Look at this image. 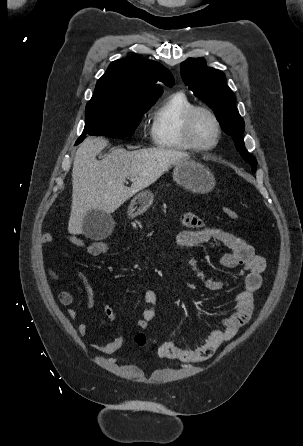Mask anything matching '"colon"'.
Returning a JSON list of instances; mask_svg holds the SVG:
<instances>
[{"label": "colon", "mask_w": 303, "mask_h": 446, "mask_svg": "<svg viewBox=\"0 0 303 446\" xmlns=\"http://www.w3.org/2000/svg\"><path fill=\"white\" fill-rule=\"evenodd\" d=\"M223 213L231 220H237L238 219V213L229 207H223L222 209ZM93 248L88 252L92 256L99 257L107 253L109 249V244L106 241H96L93 242ZM135 342L139 346H145L147 343L146 336L144 334H137L135 336Z\"/></svg>", "instance_id": "5ec220e1"}]
</instances>
